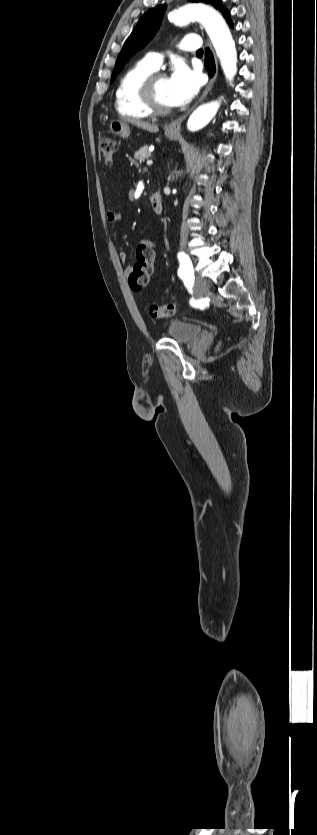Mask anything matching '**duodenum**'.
<instances>
[{"mask_svg":"<svg viewBox=\"0 0 317 835\" xmlns=\"http://www.w3.org/2000/svg\"><path fill=\"white\" fill-rule=\"evenodd\" d=\"M150 205H151L152 210L155 213L159 214V213L162 212V210H163V200H162V196L159 192H155L151 195Z\"/></svg>","mask_w":317,"mask_h":835,"instance_id":"duodenum-1","label":"duodenum"}]
</instances>
